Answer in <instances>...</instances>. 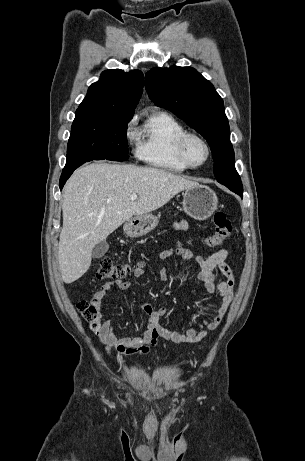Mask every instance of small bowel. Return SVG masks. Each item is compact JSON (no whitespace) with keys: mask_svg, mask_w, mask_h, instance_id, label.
<instances>
[{"mask_svg":"<svg viewBox=\"0 0 305 461\" xmlns=\"http://www.w3.org/2000/svg\"><path fill=\"white\" fill-rule=\"evenodd\" d=\"M179 230H185L187 224L181 221L176 224ZM159 259L168 260L180 257L184 260L193 261L199 268L198 279L203 284L207 293H217L221 304L215 316H207L197 325L189 328L185 332H178L168 329L161 325L160 319L165 316L168 309L164 306L154 307L149 303L143 304V309L147 316V328L140 336L118 337L114 333L113 325L109 320L101 322L98 326L97 335L101 343L105 346L106 352L111 356L112 349L125 355L147 354L157 345L158 339L163 338L174 344L195 343L207 336L208 331L215 330L226 316L234 295L235 278L231 267L227 264L228 251L220 249L209 257H203L192 250L177 246L162 250ZM146 263L140 261L136 264L133 276L140 278L145 274ZM215 269H219L226 277L225 281L216 282ZM161 281L168 280L167 269L162 266L158 270ZM125 291L131 286L126 280H118L115 283L106 282L94 293L92 302L100 308L113 285Z\"/></svg>","mask_w":305,"mask_h":461,"instance_id":"small-bowel-1","label":"small bowel"}]
</instances>
